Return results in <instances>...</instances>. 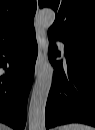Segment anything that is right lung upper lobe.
Here are the masks:
<instances>
[{
  "mask_svg": "<svg viewBox=\"0 0 95 130\" xmlns=\"http://www.w3.org/2000/svg\"><path fill=\"white\" fill-rule=\"evenodd\" d=\"M36 0H0V45L13 42L33 27Z\"/></svg>",
  "mask_w": 95,
  "mask_h": 130,
  "instance_id": "obj_1",
  "label": "right lung upper lobe"
}]
</instances>
